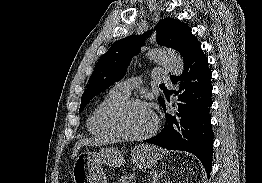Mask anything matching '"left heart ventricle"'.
Returning <instances> with one entry per match:
<instances>
[{
	"label": "left heart ventricle",
	"mask_w": 262,
	"mask_h": 183,
	"mask_svg": "<svg viewBox=\"0 0 262 183\" xmlns=\"http://www.w3.org/2000/svg\"><path fill=\"white\" fill-rule=\"evenodd\" d=\"M155 116L144 104L131 106L123 116L124 129L134 135H142L152 129Z\"/></svg>",
	"instance_id": "left-heart-ventricle-1"
}]
</instances>
